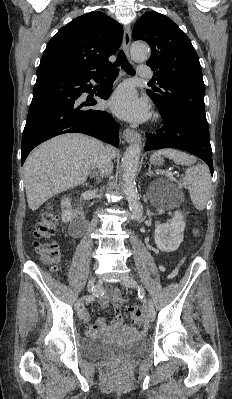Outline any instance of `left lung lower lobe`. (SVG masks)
<instances>
[{"instance_id":"obj_1","label":"left lung lower lobe","mask_w":232,"mask_h":399,"mask_svg":"<svg viewBox=\"0 0 232 399\" xmlns=\"http://www.w3.org/2000/svg\"><path fill=\"white\" fill-rule=\"evenodd\" d=\"M160 114L164 125L156 133H146L145 151L161 148L188 151L205 161L213 175L209 132L201 130L182 117Z\"/></svg>"}]
</instances>
